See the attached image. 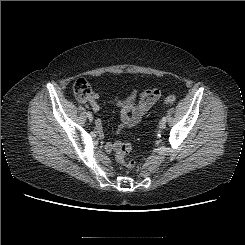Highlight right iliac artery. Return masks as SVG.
<instances>
[{
	"mask_svg": "<svg viewBox=\"0 0 245 245\" xmlns=\"http://www.w3.org/2000/svg\"><path fill=\"white\" fill-rule=\"evenodd\" d=\"M86 114H87V117L92 116L91 112H89V111Z\"/></svg>",
	"mask_w": 245,
	"mask_h": 245,
	"instance_id": "right-iliac-artery-1",
	"label": "right iliac artery"
}]
</instances>
